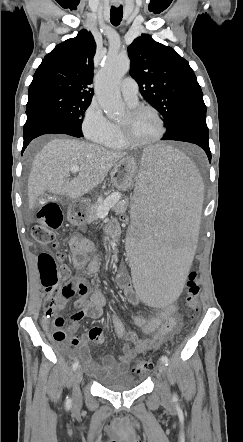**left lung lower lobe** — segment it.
<instances>
[{"mask_svg": "<svg viewBox=\"0 0 243 442\" xmlns=\"http://www.w3.org/2000/svg\"><path fill=\"white\" fill-rule=\"evenodd\" d=\"M206 124V107L192 109L183 114L166 132L162 140H175L199 145L211 161Z\"/></svg>", "mask_w": 243, "mask_h": 442, "instance_id": "1", "label": "left lung lower lobe"}]
</instances>
